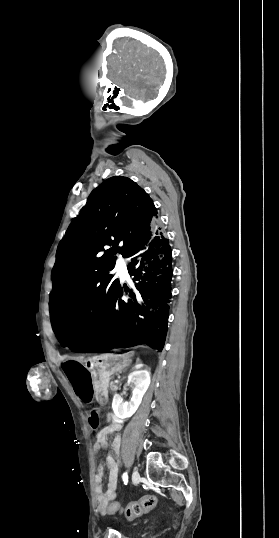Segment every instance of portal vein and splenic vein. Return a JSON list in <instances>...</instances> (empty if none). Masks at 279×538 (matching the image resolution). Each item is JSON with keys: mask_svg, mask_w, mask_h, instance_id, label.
Listing matches in <instances>:
<instances>
[{"mask_svg": "<svg viewBox=\"0 0 279 538\" xmlns=\"http://www.w3.org/2000/svg\"><path fill=\"white\" fill-rule=\"evenodd\" d=\"M118 380H122V377H118ZM118 380H113V383H118Z\"/></svg>", "mask_w": 279, "mask_h": 538, "instance_id": "18ae733b", "label": "portal vein and splenic vein"}]
</instances>
